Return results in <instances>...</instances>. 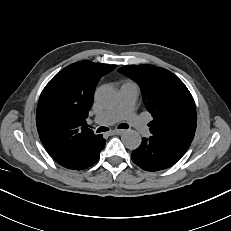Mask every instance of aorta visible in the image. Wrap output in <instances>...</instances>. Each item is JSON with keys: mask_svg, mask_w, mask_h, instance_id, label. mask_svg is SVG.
<instances>
[{"mask_svg": "<svg viewBox=\"0 0 231 231\" xmlns=\"http://www.w3.org/2000/svg\"><path fill=\"white\" fill-rule=\"evenodd\" d=\"M117 97V91L109 85L99 87L95 93L96 101L104 107L113 106L117 102ZM122 141L127 148L134 150L140 146L142 139L137 131L127 130L122 135Z\"/></svg>", "mask_w": 231, "mask_h": 231, "instance_id": "1", "label": "aorta"}]
</instances>
